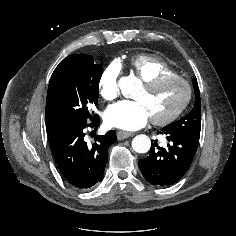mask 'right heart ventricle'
<instances>
[{"label":"right heart ventricle","mask_w":236,"mask_h":236,"mask_svg":"<svg viewBox=\"0 0 236 236\" xmlns=\"http://www.w3.org/2000/svg\"><path fill=\"white\" fill-rule=\"evenodd\" d=\"M131 68L142 82L161 75L175 74V70L161 58L148 54L139 55L132 59Z\"/></svg>","instance_id":"e07e8e85"}]
</instances>
